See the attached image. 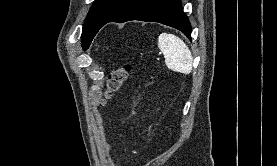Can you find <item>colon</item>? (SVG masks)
Wrapping results in <instances>:
<instances>
[{"label": "colon", "instance_id": "colon-1", "mask_svg": "<svg viewBox=\"0 0 277 166\" xmlns=\"http://www.w3.org/2000/svg\"><path fill=\"white\" fill-rule=\"evenodd\" d=\"M131 72V65L125 64L113 71H111L106 79V87L104 93V100L111 98L115 93H117L121 87L123 86L124 82L127 80L129 74Z\"/></svg>", "mask_w": 277, "mask_h": 166}]
</instances>
